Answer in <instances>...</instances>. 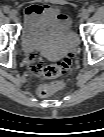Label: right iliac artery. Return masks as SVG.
Masks as SVG:
<instances>
[{"label": "right iliac artery", "mask_w": 104, "mask_h": 137, "mask_svg": "<svg viewBox=\"0 0 104 137\" xmlns=\"http://www.w3.org/2000/svg\"><path fill=\"white\" fill-rule=\"evenodd\" d=\"M3 11H4L5 13H8V12L10 11V9H9V7L5 6V7L3 8Z\"/></svg>", "instance_id": "82829eb1"}]
</instances>
